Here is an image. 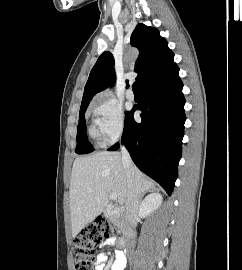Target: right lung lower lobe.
Here are the masks:
<instances>
[{"mask_svg":"<svg viewBox=\"0 0 242 270\" xmlns=\"http://www.w3.org/2000/svg\"><path fill=\"white\" fill-rule=\"evenodd\" d=\"M179 68L170 61L141 87L142 98L125 118L122 144L136 166L171 195L177 178L184 135L185 99ZM141 110V123L133 118ZM119 149L116 143L109 151Z\"/></svg>","mask_w":242,"mask_h":270,"instance_id":"98d812e1","label":"right lung lower lobe"}]
</instances>
